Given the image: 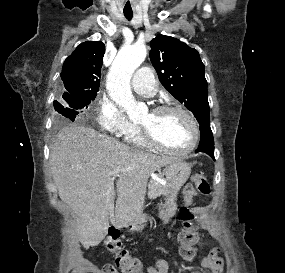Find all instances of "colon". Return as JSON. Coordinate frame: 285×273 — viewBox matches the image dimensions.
Masks as SVG:
<instances>
[{
  "instance_id": "obj_1",
  "label": "colon",
  "mask_w": 285,
  "mask_h": 273,
  "mask_svg": "<svg viewBox=\"0 0 285 273\" xmlns=\"http://www.w3.org/2000/svg\"><path fill=\"white\" fill-rule=\"evenodd\" d=\"M196 194H210V185L207 179L199 174L194 175L192 177V183L185 187L184 196H182L183 206L185 207L178 209L179 219L185 226V229L179 235V253L187 262H191L195 259L197 253L196 244L199 240L197 232L192 227L194 211L190 209L194 206L193 197ZM104 244L106 249L114 256L115 266H105L102 273H118V269L123 273L140 272V261L131 256L123 247L118 231L110 230Z\"/></svg>"
}]
</instances>
